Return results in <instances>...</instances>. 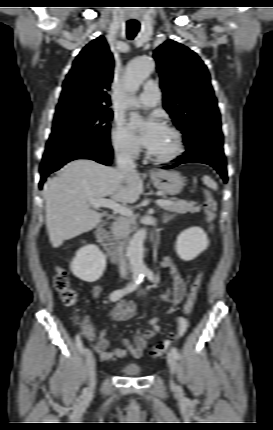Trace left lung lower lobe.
<instances>
[{
	"label": "left lung lower lobe",
	"instance_id": "obj_1",
	"mask_svg": "<svg viewBox=\"0 0 273 430\" xmlns=\"http://www.w3.org/2000/svg\"><path fill=\"white\" fill-rule=\"evenodd\" d=\"M222 133L218 127H209L204 124L193 131L190 137H185L183 142L186 145V152L173 160L175 164L164 169H170L182 163L199 162L214 167L227 182V171L225 156L223 153Z\"/></svg>",
	"mask_w": 273,
	"mask_h": 430
}]
</instances>
